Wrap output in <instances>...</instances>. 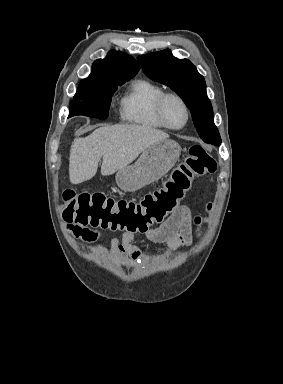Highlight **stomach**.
Listing matches in <instances>:
<instances>
[{
    "mask_svg": "<svg viewBox=\"0 0 283 384\" xmlns=\"http://www.w3.org/2000/svg\"><path fill=\"white\" fill-rule=\"evenodd\" d=\"M181 148L174 140H161L142 152L135 164L116 174V184L123 192H137L165 176L175 166Z\"/></svg>",
    "mask_w": 283,
    "mask_h": 384,
    "instance_id": "0dacf381",
    "label": "stomach"
}]
</instances>
